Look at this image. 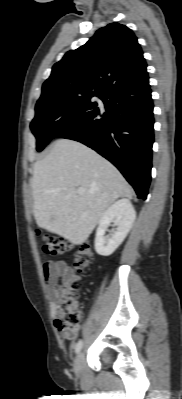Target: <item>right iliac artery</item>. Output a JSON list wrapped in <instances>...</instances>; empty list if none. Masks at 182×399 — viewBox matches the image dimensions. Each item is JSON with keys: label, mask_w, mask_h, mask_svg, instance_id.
Listing matches in <instances>:
<instances>
[{"label": "right iliac artery", "mask_w": 182, "mask_h": 399, "mask_svg": "<svg viewBox=\"0 0 182 399\" xmlns=\"http://www.w3.org/2000/svg\"><path fill=\"white\" fill-rule=\"evenodd\" d=\"M82 345H83V342H82L81 340L78 341V343H77L76 346H75V351H76V353H78V352L81 350Z\"/></svg>", "instance_id": "82829eb1"}]
</instances>
